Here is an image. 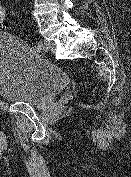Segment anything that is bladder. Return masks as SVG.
<instances>
[{
  "label": "bladder",
  "mask_w": 131,
  "mask_h": 177,
  "mask_svg": "<svg viewBox=\"0 0 131 177\" xmlns=\"http://www.w3.org/2000/svg\"><path fill=\"white\" fill-rule=\"evenodd\" d=\"M69 84L59 67L38 57L15 37L0 36V98L42 107Z\"/></svg>",
  "instance_id": "31cf9c89"
}]
</instances>
